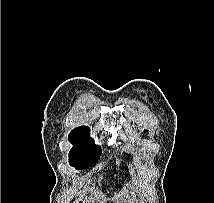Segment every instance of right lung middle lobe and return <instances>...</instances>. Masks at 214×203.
<instances>
[{
  "mask_svg": "<svg viewBox=\"0 0 214 203\" xmlns=\"http://www.w3.org/2000/svg\"><path fill=\"white\" fill-rule=\"evenodd\" d=\"M68 138L69 142L73 144L69 152V164L77 170L95 166L102 151L90 137L89 127L80 126L73 129Z\"/></svg>",
  "mask_w": 214,
  "mask_h": 203,
  "instance_id": "1",
  "label": "right lung middle lobe"
}]
</instances>
